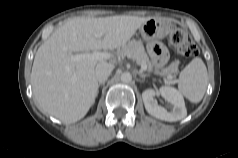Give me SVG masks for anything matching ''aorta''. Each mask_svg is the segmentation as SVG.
<instances>
[{"label":"aorta","mask_w":238,"mask_h":158,"mask_svg":"<svg viewBox=\"0 0 238 158\" xmlns=\"http://www.w3.org/2000/svg\"><path fill=\"white\" fill-rule=\"evenodd\" d=\"M121 81L124 83H129L132 81V75L129 72H123L121 74Z\"/></svg>","instance_id":"obj_1"}]
</instances>
